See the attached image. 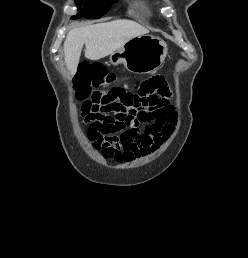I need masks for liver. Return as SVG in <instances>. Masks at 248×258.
<instances>
[{
  "mask_svg": "<svg viewBox=\"0 0 248 258\" xmlns=\"http://www.w3.org/2000/svg\"><path fill=\"white\" fill-rule=\"evenodd\" d=\"M149 32L144 26L131 20H114L69 31L64 42V59L73 76L79 64L83 45L85 57L99 60L120 49L130 39Z\"/></svg>",
  "mask_w": 248,
  "mask_h": 258,
  "instance_id": "1",
  "label": "liver"
}]
</instances>
